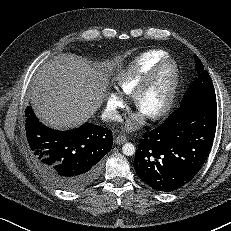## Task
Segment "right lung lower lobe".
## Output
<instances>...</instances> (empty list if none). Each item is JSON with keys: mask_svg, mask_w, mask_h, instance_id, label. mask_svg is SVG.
I'll use <instances>...</instances> for the list:
<instances>
[{"mask_svg": "<svg viewBox=\"0 0 231 231\" xmlns=\"http://www.w3.org/2000/svg\"><path fill=\"white\" fill-rule=\"evenodd\" d=\"M26 136L45 178L64 191H78L95 181L111 150L112 131L92 123L58 131L43 125L31 106L25 110Z\"/></svg>", "mask_w": 231, "mask_h": 231, "instance_id": "right-lung-lower-lobe-1", "label": "right lung lower lobe"}]
</instances>
